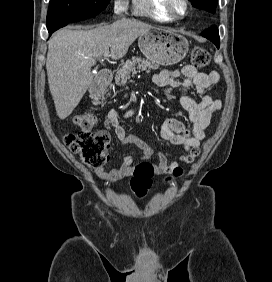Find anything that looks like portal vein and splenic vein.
Wrapping results in <instances>:
<instances>
[{
    "instance_id": "1",
    "label": "portal vein and splenic vein",
    "mask_w": 272,
    "mask_h": 282,
    "mask_svg": "<svg viewBox=\"0 0 272 282\" xmlns=\"http://www.w3.org/2000/svg\"><path fill=\"white\" fill-rule=\"evenodd\" d=\"M109 56V50L104 51L103 53V57L107 58Z\"/></svg>"
}]
</instances>
